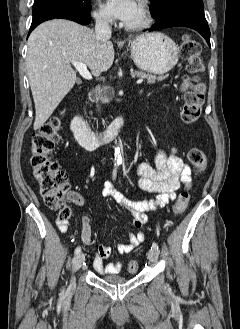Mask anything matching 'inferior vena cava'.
<instances>
[{
	"label": "inferior vena cava",
	"mask_w": 240,
	"mask_h": 329,
	"mask_svg": "<svg viewBox=\"0 0 240 329\" xmlns=\"http://www.w3.org/2000/svg\"><path fill=\"white\" fill-rule=\"evenodd\" d=\"M95 20V35L97 40H109L111 37V26L109 19L104 16H97Z\"/></svg>",
	"instance_id": "inferior-vena-cava-1"
}]
</instances>
